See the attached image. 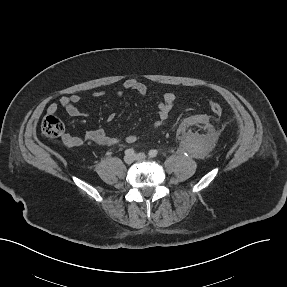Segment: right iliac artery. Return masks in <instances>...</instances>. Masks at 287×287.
Wrapping results in <instances>:
<instances>
[{
  "mask_svg": "<svg viewBox=\"0 0 287 287\" xmlns=\"http://www.w3.org/2000/svg\"><path fill=\"white\" fill-rule=\"evenodd\" d=\"M125 154L126 155H134L135 154V151L133 149H126L125 150Z\"/></svg>",
  "mask_w": 287,
  "mask_h": 287,
  "instance_id": "82829eb1",
  "label": "right iliac artery"
}]
</instances>
